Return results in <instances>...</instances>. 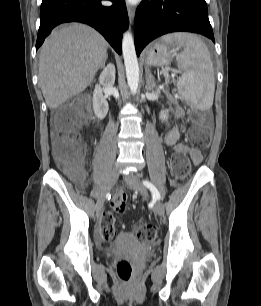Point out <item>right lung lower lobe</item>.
Listing matches in <instances>:
<instances>
[{
	"label": "right lung lower lobe",
	"mask_w": 261,
	"mask_h": 306,
	"mask_svg": "<svg viewBox=\"0 0 261 306\" xmlns=\"http://www.w3.org/2000/svg\"><path fill=\"white\" fill-rule=\"evenodd\" d=\"M110 1L113 5L106 7L101 0H42L36 50L55 26L79 21L98 30L121 54L122 33L128 28V14L124 0Z\"/></svg>",
	"instance_id": "98d812e1"
}]
</instances>
